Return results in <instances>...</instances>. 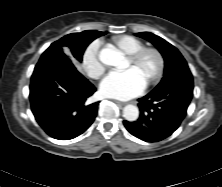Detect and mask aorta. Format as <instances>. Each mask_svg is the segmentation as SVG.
<instances>
[{
    "label": "aorta",
    "instance_id": "obj_1",
    "mask_svg": "<svg viewBox=\"0 0 222 187\" xmlns=\"http://www.w3.org/2000/svg\"><path fill=\"white\" fill-rule=\"evenodd\" d=\"M99 60L107 66H119L123 62V55L112 47H105L99 53ZM123 117L130 122L139 117V110L135 105H126L123 109Z\"/></svg>",
    "mask_w": 222,
    "mask_h": 187
}]
</instances>
